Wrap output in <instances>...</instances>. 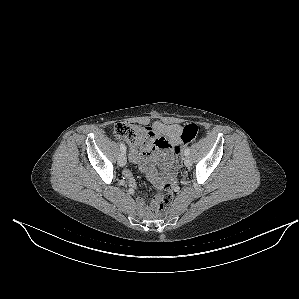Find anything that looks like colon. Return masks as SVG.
I'll list each match as a JSON object with an SVG mask.
<instances>
[{
    "mask_svg": "<svg viewBox=\"0 0 299 299\" xmlns=\"http://www.w3.org/2000/svg\"><path fill=\"white\" fill-rule=\"evenodd\" d=\"M112 131L117 137L123 138L128 143L135 146H141L148 135V128L132 123L119 122L116 123ZM201 132V127L197 124H187L183 127L181 133V141L175 145L174 152L176 154V166L182 165V152L185 144L192 142ZM173 191L170 185H165L164 191L158 194L153 201V212L161 213L165 207L172 201Z\"/></svg>",
    "mask_w": 299,
    "mask_h": 299,
    "instance_id": "obj_1",
    "label": "colon"
}]
</instances>
